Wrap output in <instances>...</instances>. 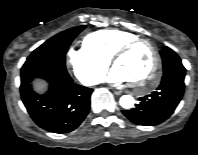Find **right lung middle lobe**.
Listing matches in <instances>:
<instances>
[{"label": "right lung middle lobe", "instance_id": "right-lung-middle-lobe-1", "mask_svg": "<svg viewBox=\"0 0 198 155\" xmlns=\"http://www.w3.org/2000/svg\"><path fill=\"white\" fill-rule=\"evenodd\" d=\"M84 28L85 26L74 27L53 36L34 50L25 63L49 61L65 65V54L70 43Z\"/></svg>", "mask_w": 198, "mask_h": 155}]
</instances>
